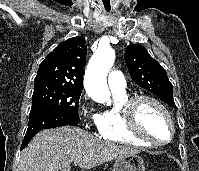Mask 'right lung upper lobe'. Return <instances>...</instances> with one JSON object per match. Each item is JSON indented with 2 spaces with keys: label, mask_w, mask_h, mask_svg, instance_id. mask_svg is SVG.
<instances>
[{
  "label": "right lung upper lobe",
  "mask_w": 199,
  "mask_h": 171,
  "mask_svg": "<svg viewBox=\"0 0 199 171\" xmlns=\"http://www.w3.org/2000/svg\"><path fill=\"white\" fill-rule=\"evenodd\" d=\"M85 43L82 36L61 42L41 62L34 83H55L82 90Z\"/></svg>",
  "instance_id": "1"
}]
</instances>
